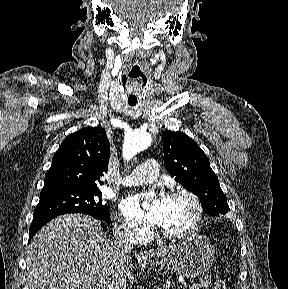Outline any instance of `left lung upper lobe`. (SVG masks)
Returning <instances> with one entry per match:
<instances>
[{
    "label": "left lung upper lobe",
    "mask_w": 288,
    "mask_h": 289,
    "mask_svg": "<svg viewBox=\"0 0 288 289\" xmlns=\"http://www.w3.org/2000/svg\"><path fill=\"white\" fill-rule=\"evenodd\" d=\"M164 162L169 174L197 195L205 213L219 216L229 211L227 198L205 153L183 132L162 133Z\"/></svg>",
    "instance_id": "obj_1"
}]
</instances>
